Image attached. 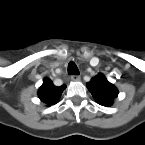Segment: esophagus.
I'll list each match as a JSON object with an SVG mask.
<instances>
[{
	"label": "esophagus",
	"mask_w": 145,
	"mask_h": 145,
	"mask_svg": "<svg viewBox=\"0 0 145 145\" xmlns=\"http://www.w3.org/2000/svg\"><path fill=\"white\" fill-rule=\"evenodd\" d=\"M81 77L79 75H72L71 80L72 81H80Z\"/></svg>",
	"instance_id": "34e87169"
}]
</instances>
